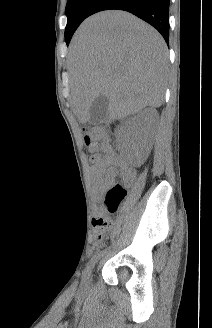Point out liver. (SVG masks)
<instances>
[{"mask_svg":"<svg viewBox=\"0 0 212 328\" xmlns=\"http://www.w3.org/2000/svg\"><path fill=\"white\" fill-rule=\"evenodd\" d=\"M70 104L81 123L100 95L108 116L121 119L164 100L167 46L150 25L130 13L110 10L84 20L69 49Z\"/></svg>","mask_w":212,"mask_h":328,"instance_id":"1","label":"liver"}]
</instances>
